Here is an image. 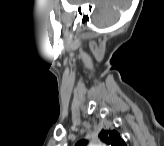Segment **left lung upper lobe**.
Returning a JSON list of instances; mask_svg holds the SVG:
<instances>
[{
  "mask_svg": "<svg viewBox=\"0 0 164 146\" xmlns=\"http://www.w3.org/2000/svg\"><path fill=\"white\" fill-rule=\"evenodd\" d=\"M99 137L102 141L112 146H125L124 140L121 138L120 134L115 130H102L99 134ZM86 141H79L76 146H85Z\"/></svg>",
  "mask_w": 164,
  "mask_h": 146,
  "instance_id": "5c2ea615",
  "label": "left lung upper lobe"
}]
</instances>
